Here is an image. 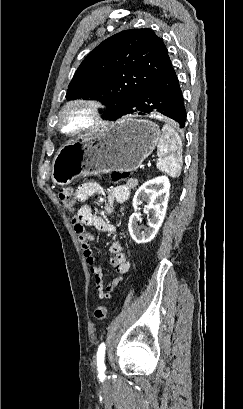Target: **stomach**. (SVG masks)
I'll return each mask as SVG.
<instances>
[{"instance_id":"obj_1","label":"stomach","mask_w":243,"mask_h":409,"mask_svg":"<svg viewBox=\"0 0 243 409\" xmlns=\"http://www.w3.org/2000/svg\"><path fill=\"white\" fill-rule=\"evenodd\" d=\"M161 132L145 119L124 117L108 129L71 140L57 152L52 180L67 185L78 176L134 171L153 152Z\"/></svg>"}]
</instances>
